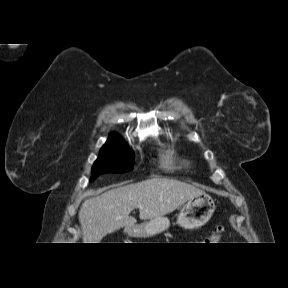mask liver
<instances>
[{"mask_svg":"<svg viewBox=\"0 0 288 288\" xmlns=\"http://www.w3.org/2000/svg\"><path fill=\"white\" fill-rule=\"evenodd\" d=\"M201 192L190 184L159 177L111 189L83 202L79 211L83 241L99 243L120 228L134 227L137 220L130 213L135 208L140 219L151 220L173 212Z\"/></svg>","mask_w":288,"mask_h":288,"instance_id":"1","label":"liver"}]
</instances>
